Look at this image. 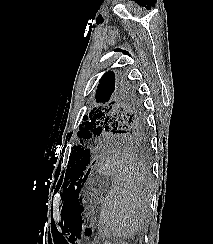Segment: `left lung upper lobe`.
Returning <instances> with one entry per match:
<instances>
[{
    "mask_svg": "<svg viewBox=\"0 0 213 244\" xmlns=\"http://www.w3.org/2000/svg\"><path fill=\"white\" fill-rule=\"evenodd\" d=\"M95 98L98 104L88 116L84 115L79 126L81 143L104 134L137 138L147 135L143 103L132 83L115 78V74L108 71L99 81ZM90 157L89 150L83 146L73 147L63 185L65 192L79 186Z\"/></svg>",
    "mask_w": 213,
    "mask_h": 244,
    "instance_id": "obj_1",
    "label": "left lung upper lobe"
}]
</instances>
